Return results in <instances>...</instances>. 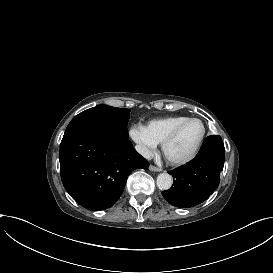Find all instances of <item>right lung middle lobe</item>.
<instances>
[{
    "instance_id": "right-lung-middle-lobe-1",
    "label": "right lung middle lobe",
    "mask_w": 273,
    "mask_h": 273,
    "mask_svg": "<svg viewBox=\"0 0 273 273\" xmlns=\"http://www.w3.org/2000/svg\"><path fill=\"white\" fill-rule=\"evenodd\" d=\"M130 110L98 105L75 116L64 136L77 132H92L107 137L128 139L127 122Z\"/></svg>"
}]
</instances>
